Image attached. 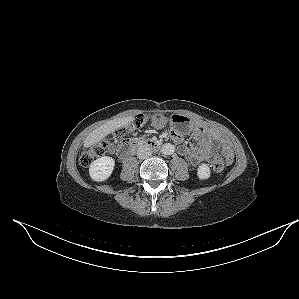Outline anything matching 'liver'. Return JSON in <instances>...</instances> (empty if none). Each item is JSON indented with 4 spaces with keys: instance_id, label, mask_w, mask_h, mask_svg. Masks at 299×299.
Here are the masks:
<instances>
[{
    "instance_id": "6515ba94",
    "label": "liver",
    "mask_w": 299,
    "mask_h": 299,
    "mask_svg": "<svg viewBox=\"0 0 299 299\" xmlns=\"http://www.w3.org/2000/svg\"><path fill=\"white\" fill-rule=\"evenodd\" d=\"M134 120L133 117H123L110 120L100 127L93 130L84 141V148H89L96 145L98 142L103 141L109 134L116 130L128 126Z\"/></svg>"
}]
</instances>
